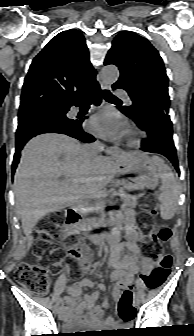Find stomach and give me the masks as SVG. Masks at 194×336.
<instances>
[{
	"instance_id": "0dacf381",
	"label": "stomach",
	"mask_w": 194,
	"mask_h": 336,
	"mask_svg": "<svg viewBox=\"0 0 194 336\" xmlns=\"http://www.w3.org/2000/svg\"><path fill=\"white\" fill-rule=\"evenodd\" d=\"M115 161L119 164L121 173L137 175L139 189H153L158 185L157 168L146 155L137 152L125 153Z\"/></svg>"
}]
</instances>
